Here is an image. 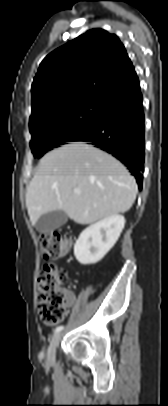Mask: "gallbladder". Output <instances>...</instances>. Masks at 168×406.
Returning a JSON list of instances; mask_svg holds the SVG:
<instances>
[{
	"label": "gallbladder",
	"mask_w": 168,
	"mask_h": 406,
	"mask_svg": "<svg viewBox=\"0 0 168 406\" xmlns=\"http://www.w3.org/2000/svg\"><path fill=\"white\" fill-rule=\"evenodd\" d=\"M68 215L61 210L43 214L36 222L35 228L40 233H50L60 226L66 224Z\"/></svg>",
	"instance_id": "obj_1"
}]
</instances>
